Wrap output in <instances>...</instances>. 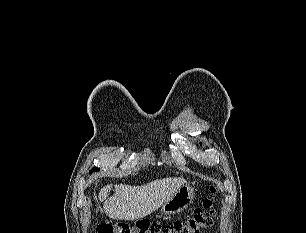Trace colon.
Masks as SVG:
<instances>
[{
  "mask_svg": "<svg viewBox=\"0 0 306 233\" xmlns=\"http://www.w3.org/2000/svg\"><path fill=\"white\" fill-rule=\"evenodd\" d=\"M210 192L215 193V188L210 187ZM216 215L212 199H204L202 205L195 209L192 215L181 221L173 223H149L139 221L134 224L127 222H104L97 228V233H200L209 228Z\"/></svg>",
  "mask_w": 306,
  "mask_h": 233,
  "instance_id": "obj_1",
  "label": "colon"
}]
</instances>
